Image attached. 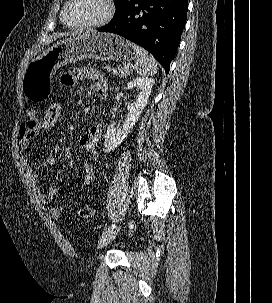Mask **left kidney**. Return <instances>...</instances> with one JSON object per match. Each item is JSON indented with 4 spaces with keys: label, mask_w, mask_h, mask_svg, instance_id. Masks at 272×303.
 Listing matches in <instances>:
<instances>
[{
    "label": "left kidney",
    "mask_w": 272,
    "mask_h": 303,
    "mask_svg": "<svg viewBox=\"0 0 272 303\" xmlns=\"http://www.w3.org/2000/svg\"><path fill=\"white\" fill-rule=\"evenodd\" d=\"M154 83V79L147 77L135 78L127 83V90L137 88L139 90V94L137 99L127 106L128 114L125 119L120 121L117 125L111 124L108 127L104 142L106 152L114 150L130 133L148 102Z\"/></svg>",
    "instance_id": "obj_1"
}]
</instances>
